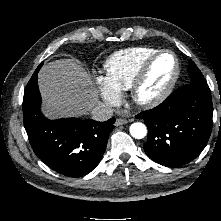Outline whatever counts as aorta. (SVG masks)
<instances>
[{
    "instance_id": "762f6f07",
    "label": "aorta",
    "mask_w": 221,
    "mask_h": 221,
    "mask_svg": "<svg viewBox=\"0 0 221 221\" xmlns=\"http://www.w3.org/2000/svg\"><path fill=\"white\" fill-rule=\"evenodd\" d=\"M130 134L135 139H142L147 134V128L146 126L141 122H135L131 124L129 128Z\"/></svg>"
}]
</instances>
